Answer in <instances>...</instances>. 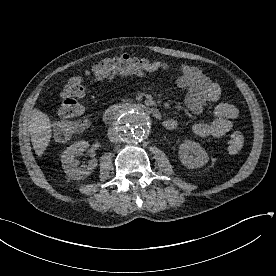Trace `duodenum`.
Returning <instances> with one entry per match:
<instances>
[{
  "mask_svg": "<svg viewBox=\"0 0 276 276\" xmlns=\"http://www.w3.org/2000/svg\"><path fill=\"white\" fill-rule=\"evenodd\" d=\"M140 110L144 111L153 117L159 119L161 118V113L159 109L153 106H149L142 103H133V104H118L109 107L103 114V121L107 124H111L117 120V118L128 110Z\"/></svg>",
  "mask_w": 276,
  "mask_h": 276,
  "instance_id": "obj_1",
  "label": "duodenum"
}]
</instances>
